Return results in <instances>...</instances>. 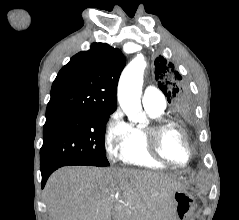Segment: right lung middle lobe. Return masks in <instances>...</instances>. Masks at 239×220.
<instances>
[{"label":"right lung middle lobe","instance_id":"dd1d6c3e","mask_svg":"<svg viewBox=\"0 0 239 220\" xmlns=\"http://www.w3.org/2000/svg\"><path fill=\"white\" fill-rule=\"evenodd\" d=\"M111 112L46 115L41 172L66 165L109 166L104 153L105 126Z\"/></svg>","mask_w":239,"mask_h":220}]
</instances>
